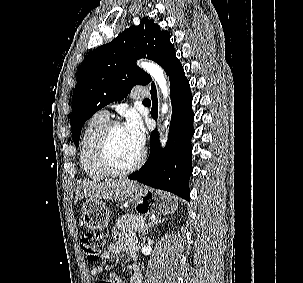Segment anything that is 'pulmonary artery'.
<instances>
[{
  "label": "pulmonary artery",
  "mask_w": 303,
  "mask_h": 283,
  "mask_svg": "<svg viewBox=\"0 0 303 283\" xmlns=\"http://www.w3.org/2000/svg\"><path fill=\"white\" fill-rule=\"evenodd\" d=\"M131 95L134 99H142V98H146L149 96V91L146 87L139 86L132 90ZM101 112L103 114L109 116V112L107 110H102Z\"/></svg>",
  "instance_id": "1"
}]
</instances>
